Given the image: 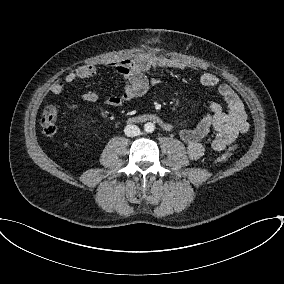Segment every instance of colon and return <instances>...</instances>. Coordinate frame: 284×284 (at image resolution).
<instances>
[{
    "mask_svg": "<svg viewBox=\"0 0 284 284\" xmlns=\"http://www.w3.org/2000/svg\"><path fill=\"white\" fill-rule=\"evenodd\" d=\"M58 110L54 106H47L41 113L40 125L42 131L47 136H53L57 132ZM234 148L229 149L222 154L219 158V162H224L228 159Z\"/></svg>",
    "mask_w": 284,
    "mask_h": 284,
    "instance_id": "colon-1",
    "label": "colon"
}]
</instances>
